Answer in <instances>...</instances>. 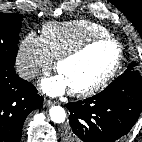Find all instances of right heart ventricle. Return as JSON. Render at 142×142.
Returning a JSON list of instances; mask_svg holds the SVG:
<instances>
[{"label":"right heart ventricle","instance_id":"e07e8e85","mask_svg":"<svg viewBox=\"0 0 142 142\" xmlns=\"http://www.w3.org/2000/svg\"><path fill=\"white\" fill-rule=\"evenodd\" d=\"M101 36H109L104 26L89 20H74L45 24L40 38L50 56L56 59L81 43Z\"/></svg>","mask_w":142,"mask_h":142}]
</instances>
